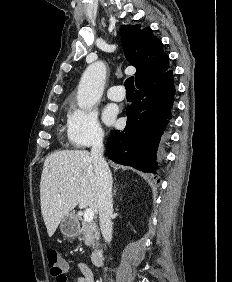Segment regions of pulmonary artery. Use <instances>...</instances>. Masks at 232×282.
Masks as SVG:
<instances>
[{"label": "pulmonary artery", "mask_w": 232, "mask_h": 282, "mask_svg": "<svg viewBox=\"0 0 232 282\" xmlns=\"http://www.w3.org/2000/svg\"><path fill=\"white\" fill-rule=\"evenodd\" d=\"M107 96L113 101H122L125 98V91L122 86H111L107 91Z\"/></svg>", "instance_id": "e3ab8cb5"}]
</instances>
